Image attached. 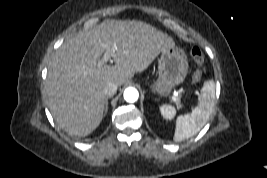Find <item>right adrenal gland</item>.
<instances>
[{"mask_svg":"<svg viewBox=\"0 0 267 178\" xmlns=\"http://www.w3.org/2000/svg\"><path fill=\"white\" fill-rule=\"evenodd\" d=\"M108 98H109V97H106V99H105V108H104V114H106V113H107V111H108Z\"/></svg>","mask_w":267,"mask_h":178,"instance_id":"obj_1","label":"right adrenal gland"}]
</instances>
